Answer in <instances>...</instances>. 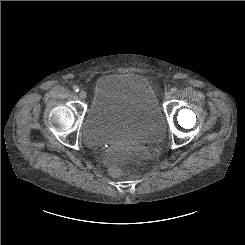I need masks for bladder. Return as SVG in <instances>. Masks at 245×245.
Returning a JSON list of instances; mask_svg holds the SVG:
<instances>
[{
    "mask_svg": "<svg viewBox=\"0 0 245 245\" xmlns=\"http://www.w3.org/2000/svg\"><path fill=\"white\" fill-rule=\"evenodd\" d=\"M164 124L156 92L147 78L114 72L95 81L81 135L91 146L144 143L156 140Z\"/></svg>",
    "mask_w": 245,
    "mask_h": 245,
    "instance_id": "bladder-1",
    "label": "bladder"
}]
</instances>
